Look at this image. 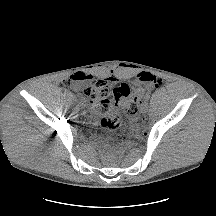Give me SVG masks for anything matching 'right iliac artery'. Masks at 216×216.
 <instances>
[{"instance_id":"1","label":"right iliac artery","mask_w":216,"mask_h":216,"mask_svg":"<svg viewBox=\"0 0 216 216\" xmlns=\"http://www.w3.org/2000/svg\"><path fill=\"white\" fill-rule=\"evenodd\" d=\"M77 97H78V101L81 103L83 101V97L80 94Z\"/></svg>"}]
</instances>
